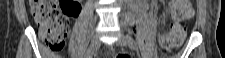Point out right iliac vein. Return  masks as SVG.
Returning <instances> with one entry per match:
<instances>
[{"label":"right iliac vein","instance_id":"right-iliac-vein-1","mask_svg":"<svg viewBox=\"0 0 225 58\" xmlns=\"http://www.w3.org/2000/svg\"><path fill=\"white\" fill-rule=\"evenodd\" d=\"M100 46V42L97 36H94L91 40L90 46H89V52L90 55H92Z\"/></svg>","mask_w":225,"mask_h":58}]
</instances>
